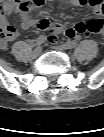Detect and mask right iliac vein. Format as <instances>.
Masks as SVG:
<instances>
[{
  "instance_id": "obj_1",
  "label": "right iliac vein",
  "mask_w": 104,
  "mask_h": 137,
  "mask_svg": "<svg viewBox=\"0 0 104 137\" xmlns=\"http://www.w3.org/2000/svg\"><path fill=\"white\" fill-rule=\"evenodd\" d=\"M42 52V48L41 47H36L34 50H33V53H32V56L34 58L38 57Z\"/></svg>"
}]
</instances>
